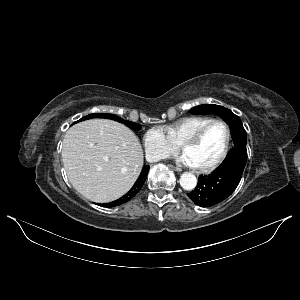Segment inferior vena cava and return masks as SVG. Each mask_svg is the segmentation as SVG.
<instances>
[{
	"label": "inferior vena cava",
	"instance_id": "602c4592",
	"mask_svg": "<svg viewBox=\"0 0 300 300\" xmlns=\"http://www.w3.org/2000/svg\"><path fill=\"white\" fill-rule=\"evenodd\" d=\"M163 158H164V156L160 153H153V154L152 153H147L146 154V159L149 162H157V161H159Z\"/></svg>",
	"mask_w": 300,
	"mask_h": 300
}]
</instances>
